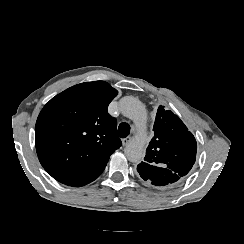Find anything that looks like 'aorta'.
Wrapping results in <instances>:
<instances>
[{"label":"aorta","instance_id":"762f6f07","mask_svg":"<svg viewBox=\"0 0 244 244\" xmlns=\"http://www.w3.org/2000/svg\"><path fill=\"white\" fill-rule=\"evenodd\" d=\"M120 109L124 116L133 120L139 129L145 126L146 110L144 105L133 97H124L120 101ZM146 137L140 131L139 134L126 145L124 149L125 156L131 162H139L143 158Z\"/></svg>","mask_w":244,"mask_h":244}]
</instances>
